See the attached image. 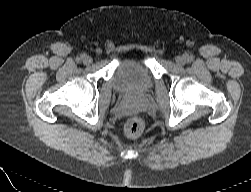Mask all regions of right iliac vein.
Listing matches in <instances>:
<instances>
[{
	"mask_svg": "<svg viewBox=\"0 0 251 192\" xmlns=\"http://www.w3.org/2000/svg\"><path fill=\"white\" fill-rule=\"evenodd\" d=\"M92 61H93V59L90 56H85L84 59H83V62L85 64H91Z\"/></svg>",
	"mask_w": 251,
	"mask_h": 192,
	"instance_id": "right-iliac-vein-1",
	"label": "right iliac vein"
}]
</instances>
